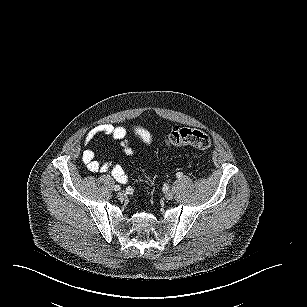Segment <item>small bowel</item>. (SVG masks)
I'll list each match as a JSON object with an SVG mask.
<instances>
[{
    "label": "small bowel",
    "mask_w": 307,
    "mask_h": 307,
    "mask_svg": "<svg viewBox=\"0 0 307 307\" xmlns=\"http://www.w3.org/2000/svg\"><path fill=\"white\" fill-rule=\"evenodd\" d=\"M134 134L145 144L152 143L151 134L141 126H135ZM104 135L113 141L119 142L127 155H133V150L129 146L126 139L127 131L122 126H114L112 124H99L91 128L85 135V145L90 144L97 136ZM81 159L87 170L91 173L111 172L112 177L119 183H126L129 179L128 174L119 165H113L109 162H100L96 159L93 148L88 147L83 150Z\"/></svg>",
    "instance_id": "obj_1"
}]
</instances>
